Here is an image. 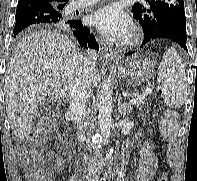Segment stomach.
<instances>
[{
  "mask_svg": "<svg viewBox=\"0 0 197 181\" xmlns=\"http://www.w3.org/2000/svg\"><path fill=\"white\" fill-rule=\"evenodd\" d=\"M154 68L155 63L151 59L133 57L126 60L124 65L117 69L116 74L119 78L140 84L152 77Z\"/></svg>",
  "mask_w": 197,
  "mask_h": 181,
  "instance_id": "1",
  "label": "stomach"
}]
</instances>
